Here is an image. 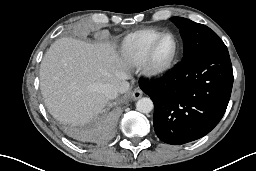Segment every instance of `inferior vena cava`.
<instances>
[{
    "label": "inferior vena cava",
    "instance_id": "602c4592",
    "mask_svg": "<svg viewBox=\"0 0 256 171\" xmlns=\"http://www.w3.org/2000/svg\"><path fill=\"white\" fill-rule=\"evenodd\" d=\"M118 88L114 84H104L102 86V93L106 96L108 99H114L118 95Z\"/></svg>",
    "mask_w": 256,
    "mask_h": 171
}]
</instances>
